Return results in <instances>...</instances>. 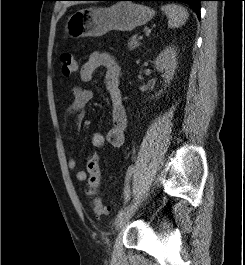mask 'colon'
Segmentation results:
<instances>
[{
  "label": "colon",
  "instance_id": "1",
  "mask_svg": "<svg viewBox=\"0 0 245 265\" xmlns=\"http://www.w3.org/2000/svg\"><path fill=\"white\" fill-rule=\"evenodd\" d=\"M62 71L64 75L69 76L76 72L77 62L70 52H64L60 57ZM87 173H88V187L89 192L94 196L93 210L96 215H102L107 213L108 209L103 205L101 197L98 195L97 191L101 182V173L99 169V159L94 153L90 154L87 160Z\"/></svg>",
  "mask_w": 245,
  "mask_h": 265
}]
</instances>
